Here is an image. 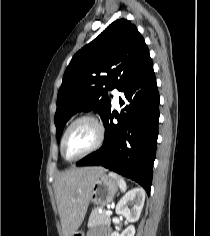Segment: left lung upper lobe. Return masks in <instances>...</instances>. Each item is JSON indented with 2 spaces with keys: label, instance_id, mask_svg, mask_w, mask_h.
<instances>
[{
  "label": "left lung upper lobe",
  "instance_id": "5c2ea615",
  "mask_svg": "<svg viewBox=\"0 0 210 236\" xmlns=\"http://www.w3.org/2000/svg\"><path fill=\"white\" fill-rule=\"evenodd\" d=\"M149 50L135 25L112 22L84 46L67 67L54 117L59 141L65 123L79 111H96L104 121L111 111L107 90L120 89L148 62Z\"/></svg>",
  "mask_w": 210,
  "mask_h": 236
}]
</instances>
